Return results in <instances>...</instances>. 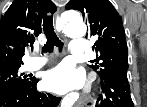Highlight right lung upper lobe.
Returning <instances> with one entry per match:
<instances>
[{
  "label": "right lung upper lobe",
  "mask_w": 147,
  "mask_h": 107,
  "mask_svg": "<svg viewBox=\"0 0 147 107\" xmlns=\"http://www.w3.org/2000/svg\"><path fill=\"white\" fill-rule=\"evenodd\" d=\"M55 11L51 0L13 1L0 23V70L23 64L24 51L33 47L35 37L42 32V18Z\"/></svg>",
  "instance_id": "1"
}]
</instances>
